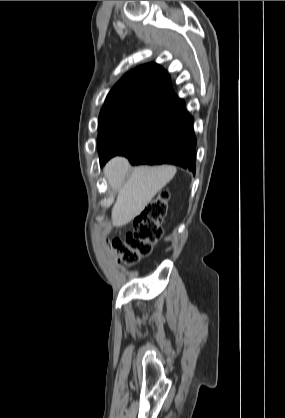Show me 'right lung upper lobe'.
<instances>
[{
    "instance_id": "1",
    "label": "right lung upper lobe",
    "mask_w": 285,
    "mask_h": 418,
    "mask_svg": "<svg viewBox=\"0 0 285 418\" xmlns=\"http://www.w3.org/2000/svg\"><path fill=\"white\" fill-rule=\"evenodd\" d=\"M126 102H139L174 111L185 105L174 94L168 73L156 63L139 66L125 74L109 92L103 108Z\"/></svg>"
}]
</instances>
